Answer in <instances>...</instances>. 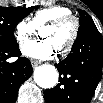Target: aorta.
Listing matches in <instances>:
<instances>
[{"mask_svg": "<svg viewBox=\"0 0 103 103\" xmlns=\"http://www.w3.org/2000/svg\"><path fill=\"white\" fill-rule=\"evenodd\" d=\"M58 77V71L52 65H42L34 71V80L41 88H53L58 82Z\"/></svg>", "mask_w": 103, "mask_h": 103, "instance_id": "762f6f07", "label": "aorta"}]
</instances>
